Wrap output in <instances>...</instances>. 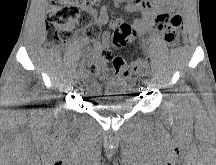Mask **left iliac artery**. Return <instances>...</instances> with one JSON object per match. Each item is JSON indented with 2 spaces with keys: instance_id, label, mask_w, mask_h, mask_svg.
Masks as SVG:
<instances>
[{
  "instance_id": "left-iliac-artery-1",
  "label": "left iliac artery",
  "mask_w": 216,
  "mask_h": 165,
  "mask_svg": "<svg viewBox=\"0 0 216 165\" xmlns=\"http://www.w3.org/2000/svg\"><path fill=\"white\" fill-rule=\"evenodd\" d=\"M145 67L148 69L150 66L147 64Z\"/></svg>"
}]
</instances>
